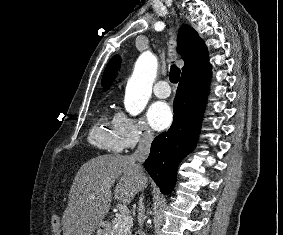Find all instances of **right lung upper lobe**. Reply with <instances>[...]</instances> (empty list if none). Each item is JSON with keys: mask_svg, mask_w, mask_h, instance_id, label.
<instances>
[{"mask_svg": "<svg viewBox=\"0 0 283 235\" xmlns=\"http://www.w3.org/2000/svg\"><path fill=\"white\" fill-rule=\"evenodd\" d=\"M178 52L185 62L181 79H191L210 71L208 52L203 40L188 25H183L178 34ZM120 66V57L114 56L108 63L102 78L103 87H107L116 77Z\"/></svg>", "mask_w": 283, "mask_h": 235, "instance_id": "obj_1", "label": "right lung upper lobe"}]
</instances>
